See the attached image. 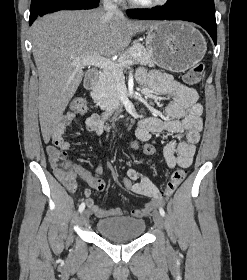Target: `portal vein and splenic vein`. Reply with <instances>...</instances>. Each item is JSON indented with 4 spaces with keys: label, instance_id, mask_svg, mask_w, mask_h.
I'll return each mask as SVG.
<instances>
[{
    "label": "portal vein and splenic vein",
    "instance_id": "18ae733b",
    "mask_svg": "<svg viewBox=\"0 0 247 280\" xmlns=\"http://www.w3.org/2000/svg\"><path fill=\"white\" fill-rule=\"evenodd\" d=\"M132 61H128L127 63H117L115 61H112L110 59H107L105 57H101L100 55L97 54H91L82 58H79L75 61H73L72 65L74 66H88V65H92V66H96L102 69H110V70H114L117 71L119 68H121L122 66H128L130 64H132Z\"/></svg>",
    "mask_w": 247,
    "mask_h": 280
}]
</instances>
